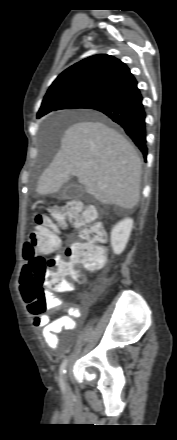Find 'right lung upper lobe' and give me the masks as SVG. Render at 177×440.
I'll return each instance as SVG.
<instances>
[{"mask_svg": "<svg viewBox=\"0 0 177 440\" xmlns=\"http://www.w3.org/2000/svg\"><path fill=\"white\" fill-rule=\"evenodd\" d=\"M134 81L135 78L123 62L110 55L98 54L63 71L52 83L44 99L68 91L92 94L100 98Z\"/></svg>", "mask_w": 177, "mask_h": 440, "instance_id": "cb5924a9", "label": "right lung upper lobe"}]
</instances>
